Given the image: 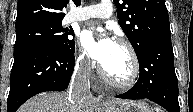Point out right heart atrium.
I'll list each match as a JSON object with an SVG mask.
<instances>
[{"mask_svg":"<svg viewBox=\"0 0 193 112\" xmlns=\"http://www.w3.org/2000/svg\"><path fill=\"white\" fill-rule=\"evenodd\" d=\"M75 68L83 74H88L91 70V63L82 52L76 55Z\"/></svg>","mask_w":193,"mask_h":112,"instance_id":"obj_1","label":"right heart atrium"}]
</instances>
